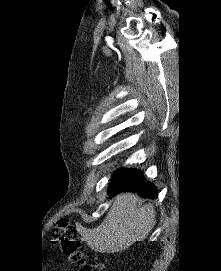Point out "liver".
<instances>
[{
  "label": "liver",
  "mask_w": 221,
  "mask_h": 271,
  "mask_svg": "<svg viewBox=\"0 0 221 271\" xmlns=\"http://www.w3.org/2000/svg\"><path fill=\"white\" fill-rule=\"evenodd\" d=\"M139 195L119 193L109 207L107 215L93 229H79L82 241L95 251H123L135 241H143L155 225L152 203L137 205Z\"/></svg>",
  "instance_id": "liver-1"
}]
</instances>
